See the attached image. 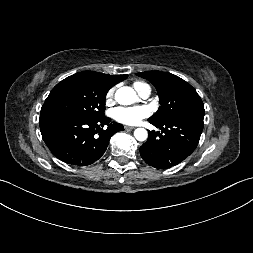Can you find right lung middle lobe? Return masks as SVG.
I'll list each match as a JSON object with an SVG mask.
<instances>
[{
  "label": "right lung middle lobe",
  "mask_w": 253,
  "mask_h": 253,
  "mask_svg": "<svg viewBox=\"0 0 253 253\" xmlns=\"http://www.w3.org/2000/svg\"><path fill=\"white\" fill-rule=\"evenodd\" d=\"M111 87L90 71L71 75L58 83L41 108L44 117L99 119Z\"/></svg>",
  "instance_id": "right-lung-middle-lobe-1"
}]
</instances>
